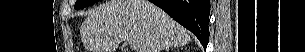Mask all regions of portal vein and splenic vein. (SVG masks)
<instances>
[{
	"instance_id": "obj_1",
	"label": "portal vein and splenic vein",
	"mask_w": 305,
	"mask_h": 52,
	"mask_svg": "<svg viewBox=\"0 0 305 52\" xmlns=\"http://www.w3.org/2000/svg\"><path fill=\"white\" fill-rule=\"evenodd\" d=\"M128 43H131V44H133V41L132 40H126Z\"/></svg>"
}]
</instances>
